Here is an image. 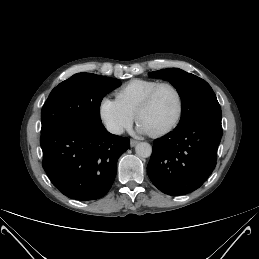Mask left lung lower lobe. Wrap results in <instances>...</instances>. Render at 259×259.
<instances>
[{
  "mask_svg": "<svg viewBox=\"0 0 259 259\" xmlns=\"http://www.w3.org/2000/svg\"><path fill=\"white\" fill-rule=\"evenodd\" d=\"M221 122L196 120L154 141L147 166L152 183L170 196L198 189L216 166Z\"/></svg>",
  "mask_w": 259,
  "mask_h": 259,
  "instance_id": "1",
  "label": "left lung lower lobe"
}]
</instances>
